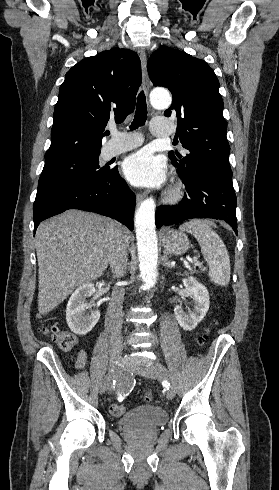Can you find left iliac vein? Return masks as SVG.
Wrapping results in <instances>:
<instances>
[{
    "label": "left iliac vein",
    "instance_id": "obj_1",
    "mask_svg": "<svg viewBox=\"0 0 279 490\" xmlns=\"http://www.w3.org/2000/svg\"><path fill=\"white\" fill-rule=\"evenodd\" d=\"M146 362L147 363L149 362L150 364H152L148 368V371L150 373L159 377L160 379H165L171 383L170 387L167 390L166 398L168 400H172L175 396V390H174V387L172 385L174 383V380H173L171 373L168 371V369L162 363H160V360L158 358H152L149 361L147 360Z\"/></svg>",
    "mask_w": 279,
    "mask_h": 490
}]
</instances>
